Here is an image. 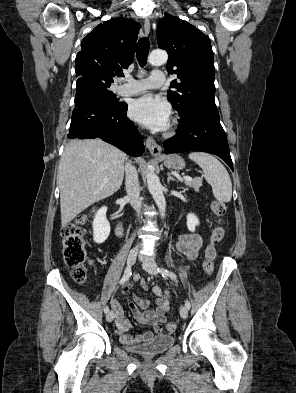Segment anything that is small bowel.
Returning a JSON list of instances; mask_svg holds the SVG:
<instances>
[{
  "instance_id": "1",
  "label": "small bowel",
  "mask_w": 296,
  "mask_h": 393,
  "mask_svg": "<svg viewBox=\"0 0 296 393\" xmlns=\"http://www.w3.org/2000/svg\"><path fill=\"white\" fill-rule=\"evenodd\" d=\"M203 244V236L199 233L182 234L176 243V249L187 260L197 258ZM205 256H209L212 260L215 258V250L211 246H207ZM134 281L139 282L143 289L148 288L147 281L139 274L134 275ZM134 283L127 284L123 293L128 294ZM153 293L156 295L155 308L150 309V301L140 298L136 295L129 297V308L132 315L141 325H151L153 332H144L133 335L130 333L131 323L124 315L123 309L116 299L111 301L115 313V332L120 341L125 345H134L140 342L149 341L154 334L162 331L163 324L166 321V315L170 309L171 295L167 289L159 286H153Z\"/></svg>"
}]
</instances>
